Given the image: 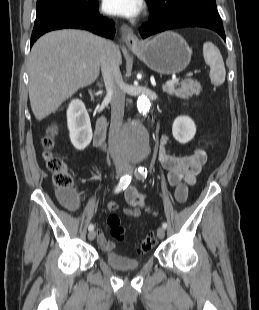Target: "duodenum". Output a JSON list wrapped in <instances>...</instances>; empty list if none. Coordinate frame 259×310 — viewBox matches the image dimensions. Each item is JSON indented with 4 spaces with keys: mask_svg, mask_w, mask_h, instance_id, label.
Listing matches in <instances>:
<instances>
[{
    "mask_svg": "<svg viewBox=\"0 0 259 310\" xmlns=\"http://www.w3.org/2000/svg\"><path fill=\"white\" fill-rule=\"evenodd\" d=\"M105 135H106V120L104 117H100L97 120L94 133V144L97 147H100L103 144Z\"/></svg>",
    "mask_w": 259,
    "mask_h": 310,
    "instance_id": "duodenum-1",
    "label": "duodenum"
}]
</instances>
